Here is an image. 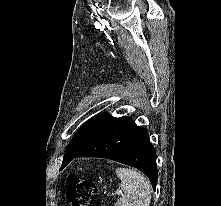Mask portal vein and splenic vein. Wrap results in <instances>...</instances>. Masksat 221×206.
<instances>
[{
    "mask_svg": "<svg viewBox=\"0 0 221 206\" xmlns=\"http://www.w3.org/2000/svg\"><path fill=\"white\" fill-rule=\"evenodd\" d=\"M116 193H117V194L120 193V190L117 189V190H116Z\"/></svg>",
    "mask_w": 221,
    "mask_h": 206,
    "instance_id": "1",
    "label": "portal vein and splenic vein"
}]
</instances>
